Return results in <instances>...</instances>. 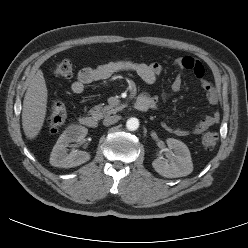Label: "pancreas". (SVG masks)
<instances>
[{
	"label": "pancreas",
	"instance_id": "pancreas-1",
	"mask_svg": "<svg viewBox=\"0 0 248 248\" xmlns=\"http://www.w3.org/2000/svg\"><path fill=\"white\" fill-rule=\"evenodd\" d=\"M123 107L124 105L117 107H113L111 105H107V106L97 105L93 107L89 112L93 117L101 118L105 115L116 113L117 111L121 110Z\"/></svg>",
	"mask_w": 248,
	"mask_h": 248
}]
</instances>
